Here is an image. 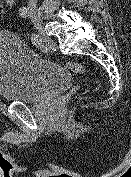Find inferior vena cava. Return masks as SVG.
<instances>
[{"label":"inferior vena cava","mask_w":131,"mask_h":177,"mask_svg":"<svg viewBox=\"0 0 131 177\" xmlns=\"http://www.w3.org/2000/svg\"><path fill=\"white\" fill-rule=\"evenodd\" d=\"M29 2H28V5L29 6H33V7H36V5H37V0H28Z\"/></svg>","instance_id":"inferior-vena-cava-1"}]
</instances>
